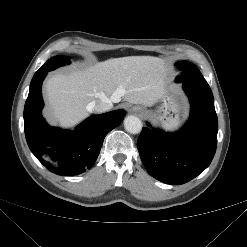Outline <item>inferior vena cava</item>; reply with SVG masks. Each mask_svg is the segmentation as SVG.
I'll return each instance as SVG.
<instances>
[{"instance_id": "inferior-vena-cava-1", "label": "inferior vena cava", "mask_w": 247, "mask_h": 247, "mask_svg": "<svg viewBox=\"0 0 247 247\" xmlns=\"http://www.w3.org/2000/svg\"><path fill=\"white\" fill-rule=\"evenodd\" d=\"M112 102H113V97L112 98L103 97L100 100L91 101L88 104L87 109L90 111L94 110L97 113L106 112L113 108Z\"/></svg>"}]
</instances>
